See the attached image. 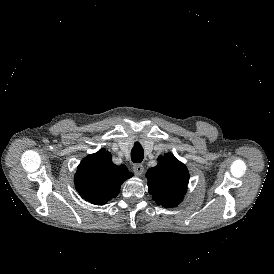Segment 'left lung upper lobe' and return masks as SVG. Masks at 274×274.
I'll return each mask as SVG.
<instances>
[{
    "label": "left lung upper lobe",
    "mask_w": 274,
    "mask_h": 274,
    "mask_svg": "<svg viewBox=\"0 0 274 274\" xmlns=\"http://www.w3.org/2000/svg\"><path fill=\"white\" fill-rule=\"evenodd\" d=\"M149 193L158 205L175 207L183 199L189 182V173L184 164L173 154L158 158V164L146 173Z\"/></svg>",
    "instance_id": "obj_1"
}]
</instances>
